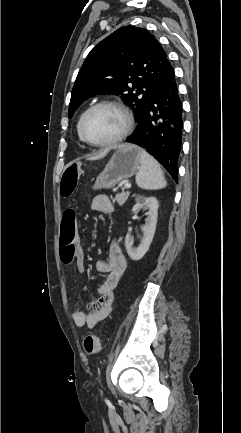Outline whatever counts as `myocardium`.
Returning a JSON list of instances; mask_svg holds the SVG:
<instances>
[{"instance_id": "obj_1", "label": "myocardium", "mask_w": 241, "mask_h": 433, "mask_svg": "<svg viewBox=\"0 0 241 433\" xmlns=\"http://www.w3.org/2000/svg\"><path fill=\"white\" fill-rule=\"evenodd\" d=\"M100 107H111V108H114L117 111H119L121 113L123 119H124V126H123L121 132L117 136H115L114 138L107 140V141H104V142H92L85 137L83 127H84V123H85V120L88 117V115L92 111H94ZM132 125H133V121H132L131 114H130L129 110L121 102H118L115 100H102V101H99V102L91 105L82 114V116L79 120V123H78V133H79L80 139L84 143H86L90 146L108 147V146H112V145L118 144L121 141H123L129 135V133L132 129Z\"/></svg>"}]
</instances>
